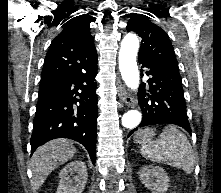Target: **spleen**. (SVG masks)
<instances>
[{
    "instance_id": "obj_1",
    "label": "spleen",
    "mask_w": 221,
    "mask_h": 193,
    "mask_svg": "<svg viewBox=\"0 0 221 193\" xmlns=\"http://www.w3.org/2000/svg\"><path fill=\"white\" fill-rule=\"evenodd\" d=\"M150 132V128H145L144 136L139 142L144 158L182 169L188 174L193 172L195 157L185 134L174 126H167L156 141H151Z\"/></svg>"
}]
</instances>
